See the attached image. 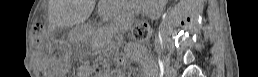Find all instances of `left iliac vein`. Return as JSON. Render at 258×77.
Wrapping results in <instances>:
<instances>
[{"mask_svg": "<svg viewBox=\"0 0 258 77\" xmlns=\"http://www.w3.org/2000/svg\"><path fill=\"white\" fill-rule=\"evenodd\" d=\"M176 69L173 66H167L165 74L167 77H175L176 76Z\"/></svg>", "mask_w": 258, "mask_h": 77, "instance_id": "obj_1", "label": "left iliac vein"}]
</instances>
